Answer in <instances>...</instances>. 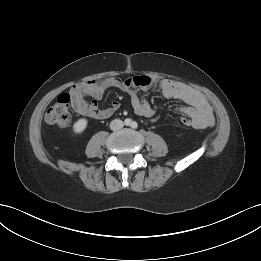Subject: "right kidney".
<instances>
[{
  "mask_svg": "<svg viewBox=\"0 0 261 261\" xmlns=\"http://www.w3.org/2000/svg\"><path fill=\"white\" fill-rule=\"evenodd\" d=\"M87 123L88 122L85 118H81V119L77 120L73 125L74 133H76V134L82 133L86 129Z\"/></svg>",
  "mask_w": 261,
  "mask_h": 261,
  "instance_id": "obj_1",
  "label": "right kidney"
}]
</instances>
